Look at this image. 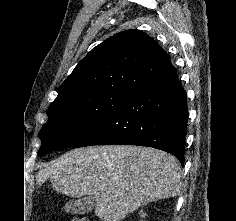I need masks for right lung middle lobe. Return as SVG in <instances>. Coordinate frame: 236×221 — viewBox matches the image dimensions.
Wrapping results in <instances>:
<instances>
[{
    "instance_id": "1",
    "label": "right lung middle lobe",
    "mask_w": 236,
    "mask_h": 221,
    "mask_svg": "<svg viewBox=\"0 0 236 221\" xmlns=\"http://www.w3.org/2000/svg\"><path fill=\"white\" fill-rule=\"evenodd\" d=\"M137 91L115 88L93 92L50 106L48 121L40 130L38 155L74 145Z\"/></svg>"
}]
</instances>
